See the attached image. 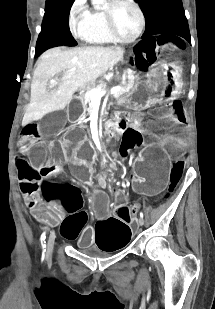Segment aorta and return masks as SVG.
Here are the masks:
<instances>
[{
  "label": "aorta",
  "instance_id": "762f6f07",
  "mask_svg": "<svg viewBox=\"0 0 215 309\" xmlns=\"http://www.w3.org/2000/svg\"><path fill=\"white\" fill-rule=\"evenodd\" d=\"M92 4H100L101 8H104L108 4L107 0H91Z\"/></svg>",
  "mask_w": 215,
  "mask_h": 309
}]
</instances>
